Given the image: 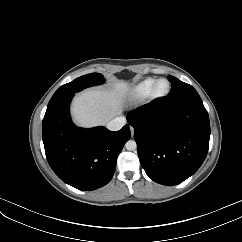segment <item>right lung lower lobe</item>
<instances>
[{
	"label": "right lung lower lobe",
	"instance_id": "98d812e1",
	"mask_svg": "<svg viewBox=\"0 0 242 242\" xmlns=\"http://www.w3.org/2000/svg\"><path fill=\"white\" fill-rule=\"evenodd\" d=\"M74 93L50 100L42 123V138L50 167L65 183L85 191L106 185L117 157L131 137L126 124L113 132L105 127L74 126L69 107Z\"/></svg>",
	"mask_w": 242,
	"mask_h": 242
}]
</instances>
